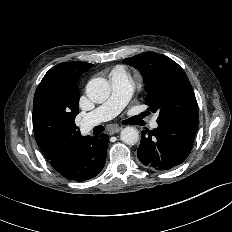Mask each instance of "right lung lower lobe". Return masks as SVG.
Returning <instances> with one entry per match:
<instances>
[{"label":"right lung lower lobe","mask_w":232,"mask_h":232,"mask_svg":"<svg viewBox=\"0 0 232 232\" xmlns=\"http://www.w3.org/2000/svg\"><path fill=\"white\" fill-rule=\"evenodd\" d=\"M108 141L106 134L79 138L70 144L63 164L55 170L63 177L77 182L95 177L105 165Z\"/></svg>","instance_id":"obj_1"}]
</instances>
